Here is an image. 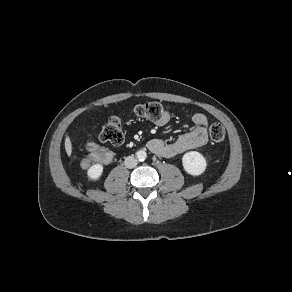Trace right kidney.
<instances>
[{
	"mask_svg": "<svg viewBox=\"0 0 292 292\" xmlns=\"http://www.w3.org/2000/svg\"><path fill=\"white\" fill-rule=\"evenodd\" d=\"M102 173H103V165L101 164H94L87 171L88 177L92 180L99 179Z\"/></svg>",
	"mask_w": 292,
	"mask_h": 292,
	"instance_id": "1",
	"label": "right kidney"
}]
</instances>
